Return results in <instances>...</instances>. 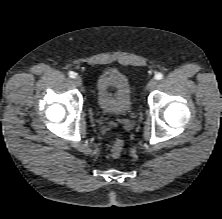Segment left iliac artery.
Returning <instances> with one entry per match:
<instances>
[{
  "label": "left iliac artery",
  "instance_id": "44dca946",
  "mask_svg": "<svg viewBox=\"0 0 222 219\" xmlns=\"http://www.w3.org/2000/svg\"><path fill=\"white\" fill-rule=\"evenodd\" d=\"M163 78V74L162 73H157L156 75H155V79H157V80H160V79H162Z\"/></svg>",
  "mask_w": 222,
  "mask_h": 219
}]
</instances>
